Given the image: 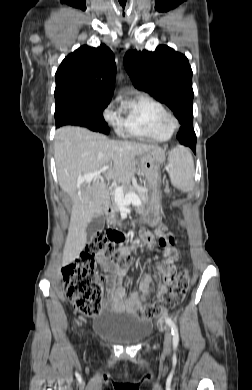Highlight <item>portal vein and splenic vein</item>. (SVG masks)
<instances>
[{
	"mask_svg": "<svg viewBox=\"0 0 252 390\" xmlns=\"http://www.w3.org/2000/svg\"><path fill=\"white\" fill-rule=\"evenodd\" d=\"M108 168H109L108 166H104L98 172L86 174V175L82 176L81 178H78V183H83V182L90 183L95 177L100 175V173L102 171L107 170ZM115 198H116V201L122 205L133 204V205L139 206L141 203L139 197L133 192H130L124 196L123 187H117L115 189Z\"/></svg>",
	"mask_w": 252,
	"mask_h": 390,
	"instance_id": "portal-vein-and-splenic-vein-1",
	"label": "portal vein and splenic vein"
}]
</instances>
